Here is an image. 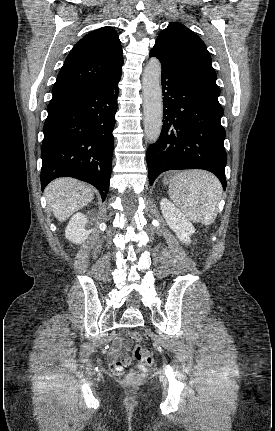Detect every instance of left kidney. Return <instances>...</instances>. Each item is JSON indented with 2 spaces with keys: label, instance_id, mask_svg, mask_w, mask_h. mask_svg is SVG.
Here are the masks:
<instances>
[{
  "label": "left kidney",
  "instance_id": "1",
  "mask_svg": "<svg viewBox=\"0 0 275 431\" xmlns=\"http://www.w3.org/2000/svg\"><path fill=\"white\" fill-rule=\"evenodd\" d=\"M160 208L169 227L183 243H190V237L195 233L193 224L187 217L166 198H162Z\"/></svg>",
  "mask_w": 275,
  "mask_h": 431
}]
</instances>
